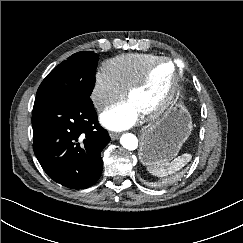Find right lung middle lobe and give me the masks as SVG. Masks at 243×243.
Instances as JSON below:
<instances>
[{"mask_svg":"<svg viewBox=\"0 0 243 243\" xmlns=\"http://www.w3.org/2000/svg\"><path fill=\"white\" fill-rule=\"evenodd\" d=\"M97 60L98 55L93 51L73 54L46 76L38 88L37 96L75 103L89 101L95 85Z\"/></svg>","mask_w":243,"mask_h":243,"instance_id":"right-lung-middle-lobe-1","label":"right lung middle lobe"}]
</instances>
